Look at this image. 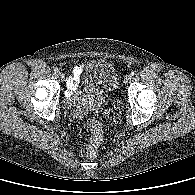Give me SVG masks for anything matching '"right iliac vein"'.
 I'll list each match as a JSON object with an SVG mask.
<instances>
[{
	"instance_id": "63e3f726",
	"label": "right iliac vein",
	"mask_w": 195,
	"mask_h": 195,
	"mask_svg": "<svg viewBox=\"0 0 195 195\" xmlns=\"http://www.w3.org/2000/svg\"><path fill=\"white\" fill-rule=\"evenodd\" d=\"M58 77H59L61 80H64V79H65V75H64V73H62V72H59V73H58Z\"/></svg>"
}]
</instances>
